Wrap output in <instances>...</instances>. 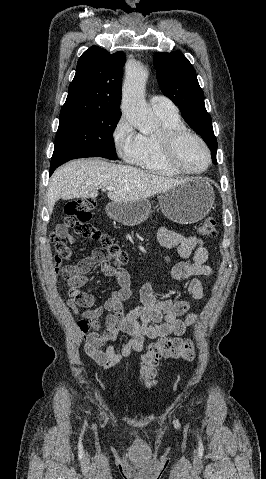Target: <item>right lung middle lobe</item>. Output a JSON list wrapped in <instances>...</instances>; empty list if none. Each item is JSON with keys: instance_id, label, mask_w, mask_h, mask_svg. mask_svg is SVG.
Returning <instances> with one entry per match:
<instances>
[{"instance_id": "dd1d6c3e", "label": "right lung middle lobe", "mask_w": 266, "mask_h": 479, "mask_svg": "<svg viewBox=\"0 0 266 479\" xmlns=\"http://www.w3.org/2000/svg\"><path fill=\"white\" fill-rule=\"evenodd\" d=\"M120 117L117 114L60 115L52 157H104L116 160L112 135Z\"/></svg>"}]
</instances>
